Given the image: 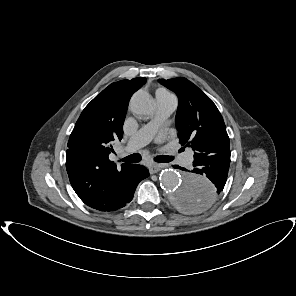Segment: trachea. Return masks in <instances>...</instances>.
I'll list each match as a JSON object with an SVG mask.
<instances>
[{
	"label": "trachea",
	"mask_w": 296,
	"mask_h": 296,
	"mask_svg": "<svg viewBox=\"0 0 296 296\" xmlns=\"http://www.w3.org/2000/svg\"><path fill=\"white\" fill-rule=\"evenodd\" d=\"M141 159L142 157L139 153H134L123 158L122 161L127 163H138L141 161ZM154 160L160 163H167L173 160V156H166V155L156 156Z\"/></svg>",
	"instance_id": "1"
}]
</instances>
